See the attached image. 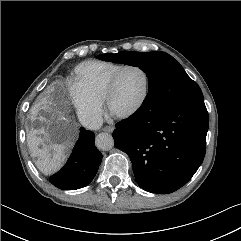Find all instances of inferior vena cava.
I'll return each instance as SVG.
<instances>
[{
	"instance_id": "1",
	"label": "inferior vena cava",
	"mask_w": 241,
	"mask_h": 241,
	"mask_svg": "<svg viewBox=\"0 0 241 241\" xmlns=\"http://www.w3.org/2000/svg\"><path fill=\"white\" fill-rule=\"evenodd\" d=\"M101 117H92L89 116L82 120V123L89 129H99L102 125Z\"/></svg>"
}]
</instances>
